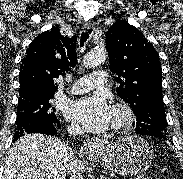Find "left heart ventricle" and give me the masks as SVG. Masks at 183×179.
I'll list each match as a JSON object with an SVG mask.
<instances>
[{
  "label": "left heart ventricle",
  "mask_w": 183,
  "mask_h": 179,
  "mask_svg": "<svg viewBox=\"0 0 183 179\" xmlns=\"http://www.w3.org/2000/svg\"><path fill=\"white\" fill-rule=\"evenodd\" d=\"M117 119H118V114L112 110L110 125H112Z\"/></svg>",
  "instance_id": "obj_1"
}]
</instances>
